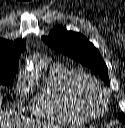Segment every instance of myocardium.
I'll list each match as a JSON object with an SVG mask.
<instances>
[{
  "instance_id": "f54148a6",
  "label": "myocardium",
  "mask_w": 125,
  "mask_h": 128,
  "mask_svg": "<svg viewBox=\"0 0 125 128\" xmlns=\"http://www.w3.org/2000/svg\"><path fill=\"white\" fill-rule=\"evenodd\" d=\"M86 86H91L95 88L102 97V107L98 111H94L89 106L88 102L85 100L83 95V90ZM71 96L76 104V106L88 117L97 118L102 116L109 103V95L105 88L102 86L100 81L95 77L87 74H79L76 79L72 82L70 87Z\"/></svg>"
}]
</instances>
